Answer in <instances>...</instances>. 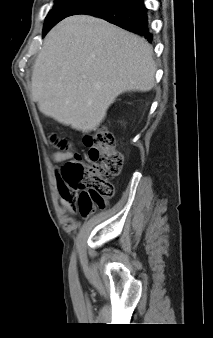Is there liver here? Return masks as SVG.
<instances>
[{
  "label": "liver",
  "mask_w": 213,
  "mask_h": 338,
  "mask_svg": "<svg viewBox=\"0 0 213 338\" xmlns=\"http://www.w3.org/2000/svg\"><path fill=\"white\" fill-rule=\"evenodd\" d=\"M153 49L143 38L102 19L71 16L44 39L32 72L39 110L73 129L97 128L122 93L155 84Z\"/></svg>",
  "instance_id": "obj_1"
}]
</instances>
